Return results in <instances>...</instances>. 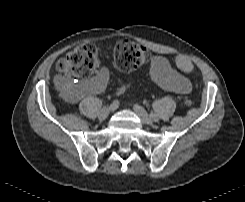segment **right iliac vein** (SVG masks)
<instances>
[{
    "label": "right iliac vein",
    "mask_w": 245,
    "mask_h": 202,
    "mask_svg": "<svg viewBox=\"0 0 245 202\" xmlns=\"http://www.w3.org/2000/svg\"><path fill=\"white\" fill-rule=\"evenodd\" d=\"M111 111H112L111 106L102 108L98 113V118L100 120H105L109 116Z\"/></svg>",
    "instance_id": "obj_1"
}]
</instances>
